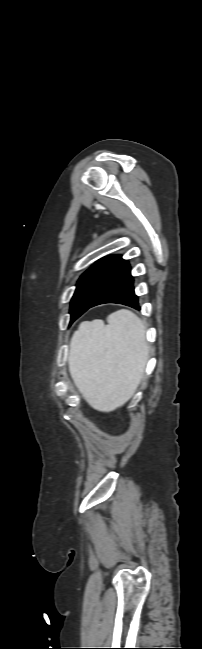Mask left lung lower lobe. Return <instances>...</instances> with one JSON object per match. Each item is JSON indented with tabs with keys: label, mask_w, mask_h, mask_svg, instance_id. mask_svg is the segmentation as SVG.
Listing matches in <instances>:
<instances>
[{
	"label": "left lung lower lobe",
	"mask_w": 202,
	"mask_h": 649,
	"mask_svg": "<svg viewBox=\"0 0 202 649\" xmlns=\"http://www.w3.org/2000/svg\"><path fill=\"white\" fill-rule=\"evenodd\" d=\"M133 284L130 264L125 261L95 299L86 306V310L105 303L124 304L140 310L139 298L135 295Z\"/></svg>",
	"instance_id": "1"
}]
</instances>
